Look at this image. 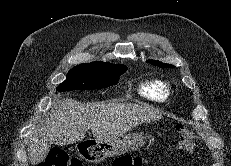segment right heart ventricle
<instances>
[{
  "label": "right heart ventricle",
  "mask_w": 231,
  "mask_h": 166,
  "mask_svg": "<svg viewBox=\"0 0 231 166\" xmlns=\"http://www.w3.org/2000/svg\"><path fill=\"white\" fill-rule=\"evenodd\" d=\"M138 93L145 99L162 102L167 98V92L162 81L147 79L138 86Z\"/></svg>",
  "instance_id": "right-heart-ventricle-1"
}]
</instances>
